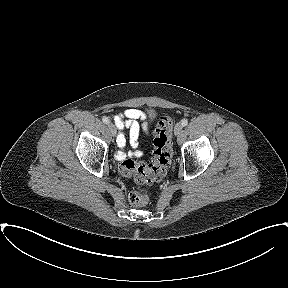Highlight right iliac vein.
Segmentation results:
<instances>
[{
  "label": "right iliac vein",
  "mask_w": 288,
  "mask_h": 288,
  "mask_svg": "<svg viewBox=\"0 0 288 288\" xmlns=\"http://www.w3.org/2000/svg\"><path fill=\"white\" fill-rule=\"evenodd\" d=\"M108 127H109V130H110L112 136H115L116 135V128H115L114 124L108 123Z\"/></svg>",
  "instance_id": "right-iliac-vein-1"
}]
</instances>
